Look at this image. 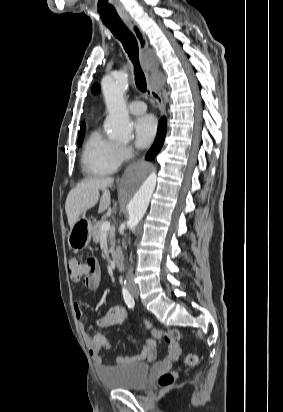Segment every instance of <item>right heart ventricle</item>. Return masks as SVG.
I'll list each match as a JSON object with an SVG mask.
<instances>
[{
    "mask_svg": "<svg viewBox=\"0 0 283 412\" xmlns=\"http://www.w3.org/2000/svg\"><path fill=\"white\" fill-rule=\"evenodd\" d=\"M81 161L84 171L89 175L113 174L122 163L120 146L96 129L84 145Z\"/></svg>",
    "mask_w": 283,
    "mask_h": 412,
    "instance_id": "right-heart-ventricle-1",
    "label": "right heart ventricle"
}]
</instances>
